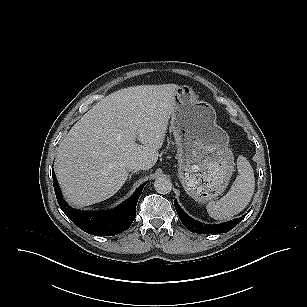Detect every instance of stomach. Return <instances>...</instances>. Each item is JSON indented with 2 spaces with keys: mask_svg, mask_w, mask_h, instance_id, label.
Instances as JSON below:
<instances>
[{
  "mask_svg": "<svg viewBox=\"0 0 307 307\" xmlns=\"http://www.w3.org/2000/svg\"><path fill=\"white\" fill-rule=\"evenodd\" d=\"M173 98L170 128L177 145L178 177L186 193L204 203L224 192L234 171L229 136L217 125L213 106L199 100L192 88L180 86Z\"/></svg>",
  "mask_w": 307,
  "mask_h": 307,
  "instance_id": "0dacf381",
  "label": "stomach"
}]
</instances>
